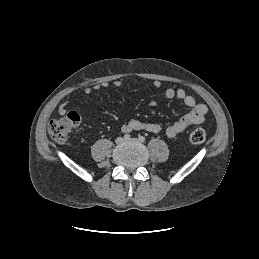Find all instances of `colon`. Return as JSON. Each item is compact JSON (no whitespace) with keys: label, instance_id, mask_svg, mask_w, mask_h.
<instances>
[{"label":"colon","instance_id":"colon-1","mask_svg":"<svg viewBox=\"0 0 259 259\" xmlns=\"http://www.w3.org/2000/svg\"><path fill=\"white\" fill-rule=\"evenodd\" d=\"M81 122V117L76 111H69L57 119L50 121L48 132L52 139L57 143H65L69 135ZM206 134L201 128H196L189 134L192 144H201L205 141Z\"/></svg>","mask_w":259,"mask_h":259}]
</instances>
